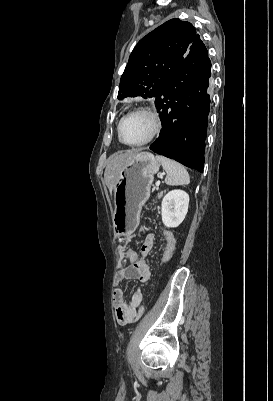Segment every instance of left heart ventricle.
<instances>
[{
  "label": "left heart ventricle",
  "mask_w": 273,
  "mask_h": 401,
  "mask_svg": "<svg viewBox=\"0 0 273 401\" xmlns=\"http://www.w3.org/2000/svg\"><path fill=\"white\" fill-rule=\"evenodd\" d=\"M154 129L152 119L143 114H136L126 118L121 127V136L124 141L136 143L147 138Z\"/></svg>",
  "instance_id": "obj_1"
}]
</instances>
